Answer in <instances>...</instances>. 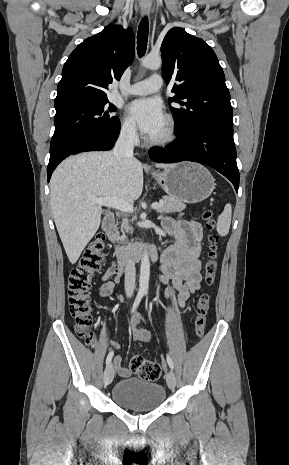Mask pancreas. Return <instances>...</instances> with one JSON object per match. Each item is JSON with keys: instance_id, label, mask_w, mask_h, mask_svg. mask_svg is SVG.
<instances>
[{"instance_id": "obj_1", "label": "pancreas", "mask_w": 289, "mask_h": 465, "mask_svg": "<svg viewBox=\"0 0 289 465\" xmlns=\"http://www.w3.org/2000/svg\"><path fill=\"white\" fill-rule=\"evenodd\" d=\"M185 208L186 205L183 202L170 196H164L157 211L159 213L182 212ZM117 240L123 243L125 241V236H118Z\"/></svg>"}]
</instances>
